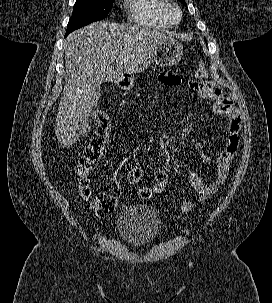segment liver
<instances>
[{"mask_svg": "<svg viewBox=\"0 0 272 303\" xmlns=\"http://www.w3.org/2000/svg\"><path fill=\"white\" fill-rule=\"evenodd\" d=\"M171 38L132 23L94 22L71 33L64 41L66 78L55 126L59 142L69 147L88 134L104 81L144 71Z\"/></svg>", "mask_w": 272, "mask_h": 303, "instance_id": "1", "label": "liver"}]
</instances>
